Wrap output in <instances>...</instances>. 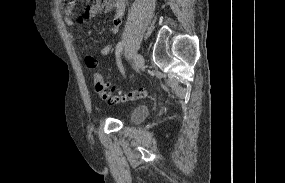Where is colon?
<instances>
[{"label": "colon", "instance_id": "1", "mask_svg": "<svg viewBox=\"0 0 285 183\" xmlns=\"http://www.w3.org/2000/svg\"><path fill=\"white\" fill-rule=\"evenodd\" d=\"M93 86L95 92L106 102L110 104L133 101L146 96V91L143 89L130 92H116L110 87L104 77L96 73L93 76Z\"/></svg>", "mask_w": 285, "mask_h": 183}]
</instances>
